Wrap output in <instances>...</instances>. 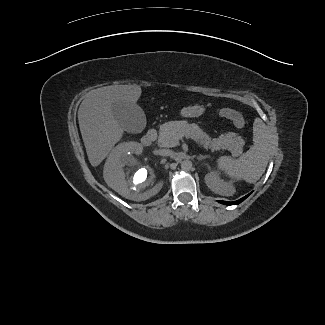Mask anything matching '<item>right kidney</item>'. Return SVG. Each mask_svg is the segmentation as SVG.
<instances>
[{"label":"right kidney","instance_id":"ca27d5eb","mask_svg":"<svg viewBox=\"0 0 325 325\" xmlns=\"http://www.w3.org/2000/svg\"><path fill=\"white\" fill-rule=\"evenodd\" d=\"M139 147L135 142L117 145L108 156L103 172L109 187L134 201L149 199L156 195L163 185L161 181H156V172L148 162L138 157Z\"/></svg>","mask_w":325,"mask_h":325}]
</instances>
